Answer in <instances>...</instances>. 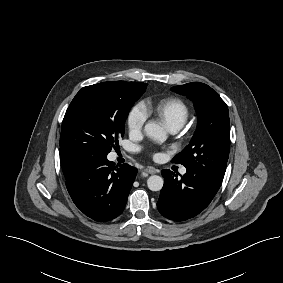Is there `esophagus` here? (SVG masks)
<instances>
[{"mask_svg":"<svg viewBox=\"0 0 283 283\" xmlns=\"http://www.w3.org/2000/svg\"><path fill=\"white\" fill-rule=\"evenodd\" d=\"M144 171L148 174H156L157 173V169H155L154 167H147L144 169Z\"/></svg>","mask_w":283,"mask_h":283,"instance_id":"1","label":"esophagus"}]
</instances>
